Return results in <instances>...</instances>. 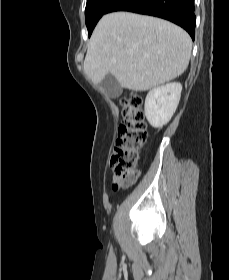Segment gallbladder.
I'll return each mask as SVG.
<instances>
[{
    "mask_svg": "<svg viewBox=\"0 0 229 280\" xmlns=\"http://www.w3.org/2000/svg\"><path fill=\"white\" fill-rule=\"evenodd\" d=\"M100 86L111 98L119 97L122 92L121 85L110 73L101 81Z\"/></svg>",
    "mask_w": 229,
    "mask_h": 280,
    "instance_id": "1",
    "label": "gallbladder"
}]
</instances>
